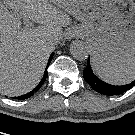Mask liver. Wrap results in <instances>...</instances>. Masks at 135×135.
<instances>
[{
  "mask_svg": "<svg viewBox=\"0 0 135 135\" xmlns=\"http://www.w3.org/2000/svg\"><path fill=\"white\" fill-rule=\"evenodd\" d=\"M53 4V0H0L1 94L20 96L39 83L63 27L71 24L68 13ZM31 22L39 26L27 27Z\"/></svg>",
  "mask_w": 135,
  "mask_h": 135,
  "instance_id": "1",
  "label": "liver"
}]
</instances>
